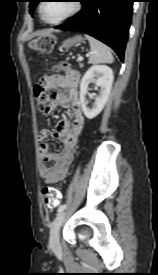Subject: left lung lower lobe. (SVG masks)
<instances>
[{"instance_id": "0a47b994", "label": "left lung lower lobe", "mask_w": 158, "mask_h": 275, "mask_svg": "<svg viewBox=\"0 0 158 275\" xmlns=\"http://www.w3.org/2000/svg\"><path fill=\"white\" fill-rule=\"evenodd\" d=\"M83 7L70 21L55 28L81 31L110 46L120 60L131 23L134 0H82Z\"/></svg>"}]
</instances>
